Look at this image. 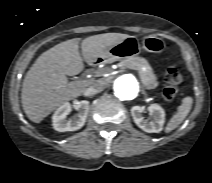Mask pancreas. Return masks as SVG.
Masks as SVG:
<instances>
[{
  "label": "pancreas",
  "mask_w": 212,
  "mask_h": 183,
  "mask_svg": "<svg viewBox=\"0 0 212 183\" xmlns=\"http://www.w3.org/2000/svg\"><path fill=\"white\" fill-rule=\"evenodd\" d=\"M119 65L122 68H129L138 71L140 80L146 89L151 90L158 86L156 76L146 59L135 56L122 60ZM143 67L146 68L145 72L143 71Z\"/></svg>",
  "instance_id": "obj_1"
}]
</instances>
